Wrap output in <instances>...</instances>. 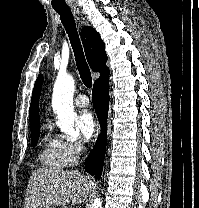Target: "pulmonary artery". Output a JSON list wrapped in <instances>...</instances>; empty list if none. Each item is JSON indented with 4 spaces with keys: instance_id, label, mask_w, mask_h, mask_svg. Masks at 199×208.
Listing matches in <instances>:
<instances>
[{
    "instance_id": "obj_1",
    "label": "pulmonary artery",
    "mask_w": 199,
    "mask_h": 208,
    "mask_svg": "<svg viewBox=\"0 0 199 208\" xmlns=\"http://www.w3.org/2000/svg\"><path fill=\"white\" fill-rule=\"evenodd\" d=\"M74 104L80 108L87 107L89 105V99L86 95L80 94L74 99Z\"/></svg>"
}]
</instances>
